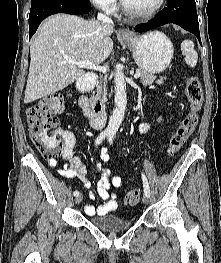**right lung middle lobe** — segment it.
I'll use <instances>...</instances> for the list:
<instances>
[{
    "mask_svg": "<svg viewBox=\"0 0 221 263\" xmlns=\"http://www.w3.org/2000/svg\"><path fill=\"white\" fill-rule=\"evenodd\" d=\"M40 1H42V0H31V5H33V4L37 3V2H40Z\"/></svg>",
    "mask_w": 221,
    "mask_h": 263,
    "instance_id": "right-lung-middle-lobe-1",
    "label": "right lung middle lobe"
}]
</instances>
